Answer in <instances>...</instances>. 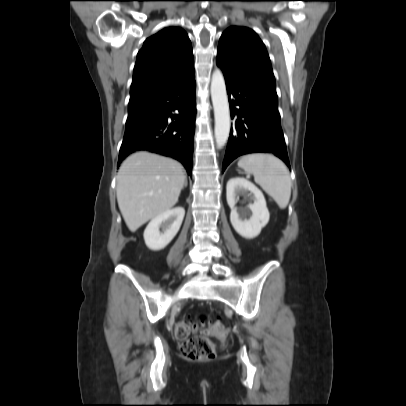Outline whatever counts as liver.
<instances>
[{"label": "liver", "instance_id": "obj_1", "mask_svg": "<svg viewBox=\"0 0 406 406\" xmlns=\"http://www.w3.org/2000/svg\"><path fill=\"white\" fill-rule=\"evenodd\" d=\"M183 166L164 156L140 151L130 155L117 174V202L125 223L135 232L170 210L185 183Z\"/></svg>", "mask_w": 406, "mask_h": 406}]
</instances>
